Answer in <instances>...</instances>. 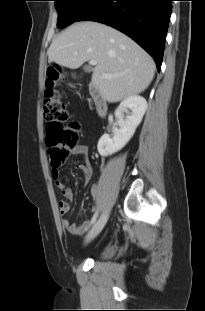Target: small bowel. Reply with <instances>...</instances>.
<instances>
[{
    "label": "small bowel",
    "mask_w": 205,
    "mask_h": 311,
    "mask_svg": "<svg viewBox=\"0 0 205 311\" xmlns=\"http://www.w3.org/2000/svg\"><path fill=\"white\" fill-rule=\"evenodd\" d=\"M72 155H81L84 157V161L77 164L76 167L80 169L84 174L85 182H89L93 177V164L88 157V146L85 144H79L71 152ZM52 177L55 180L56 187L60 193L65 197L66 200H60L58 202V209L61 216H66L70 211V206L68 201L73 199V193L71 189L65 184V182L60 178L59 172L52 170ZM92 197H95L97 193V186L93 185L90 189ZM91 219L84 221L83 223H72L68 219H63L62 225L64 228L72 234H81L90 228Z\"/></svg>",
    "instance_id": "small-bowel-1"
}]
</instances>
